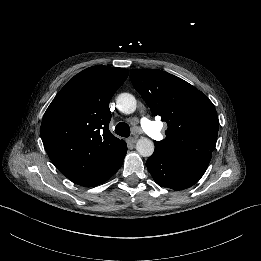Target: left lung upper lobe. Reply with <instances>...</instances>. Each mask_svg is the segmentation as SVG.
<instances>
[{
	"instance_id": "left-lung-upper-lobe-1",
	"label": "left lung upper lobe",
	"mask_w": 261,
	"mask_h": 261,
	"mask_svg": "<svg viewBox=\"0 0 261 261\" xmlns=\"http://www.w3.org/2000/svg\"><path fill=\"white\" fill-rule=\"evenodd\" d=\"M134 88L154 116L167 122L166 138L154 141L166 156L209 164L219 121L209 98L188 82L158 69H132Z\"/></svg>"
}]
</instances>
